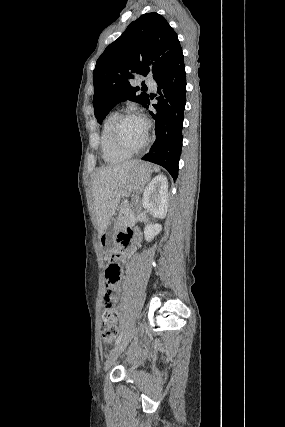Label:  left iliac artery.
Wrapping results in <instances>:
<instances>
[{"instance_id":"1","label":"left iliac artery","mask_w":285,"mask_h":427,"mask_svg":"<svg viewBox=\"0 0 285 427\" xmlns=\"http://www.w3.org/2000/svg\"><path fill=\"white\" fill-rule=\"evenodd\" d=\"M123 337V331L120 333V335L117 337L116 341H115V345L119 344L122 340Z\"/></svg>"}]
</instances>
